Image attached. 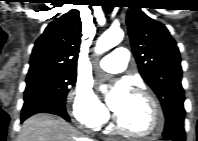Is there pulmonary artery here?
<instances>
[{
	"label": "pulmonary artery",
	"instance_id": "pulmonary-artery-1",
	"mask_svg": "<svg viewBox=\"0 0 198 141\" xmlns=\"http://www.w3.org/2000/svg\"><path fill=\"white\" fill-rule=\"evenodd\" d=\"M129 56V52L125 47H116L101 59L100 67L107 72H121L126 68Z\"/></svg>",
	"mask_w": 198,
	"mask_h": 141
}]
</instances>
